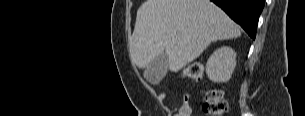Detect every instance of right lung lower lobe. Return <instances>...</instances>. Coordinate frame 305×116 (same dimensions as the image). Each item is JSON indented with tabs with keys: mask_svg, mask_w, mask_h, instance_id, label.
Returning a JSON list of instances; mask_svg holds the SVG:
<instances>
[{
	"mask_svg": "<svg viewBox=\"0 0 305 116\" xmlns=\"http://www.w3.org/2000/svg\"><path fill=\"white\" fill-rule=\"evenodd\" d=\"M221 7L247 34L255 39L264 0H211Z\"/></svg>",
	"mask_w": 305,
	"mask_h": 116,
	"instance_id": "obj_1",
	"label": "right lung lower lobe"
}]
</instances>
